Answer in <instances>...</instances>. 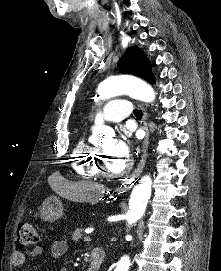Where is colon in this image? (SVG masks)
Returning <instances> with one entry per match:
<instances>
[{
    "instance_id": "colon-1",
    "label": "colon",
    "mask_w": 221,
    "mask_h": 271,
    "mask_svg": "<svg viewBox=\"0 0 221 271\" xmlns=\"http://www.w3.org/2000/svg\"><path fill=\"white\" fill-rule=\"evenodd\" d=\"M37 234L33 226L26 222H21L18 225L16 235V248L19 250L27 249L37 242Z\"/></svg>"
}]
</instances>
